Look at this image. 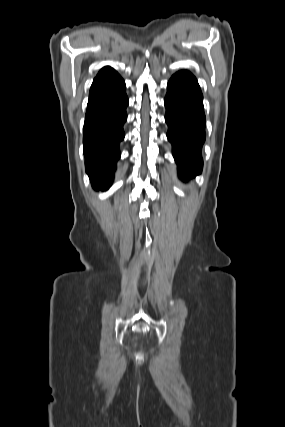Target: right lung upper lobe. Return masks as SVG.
Wrapping results in <instances>:
<instances>
[{
    "mask_svg": "<svg viewBox=\"0 0 285 427\" xmlns=\"http://www.w3.org/2000/svg\"><path fill=\"white\" fill-rule=\"evenodd\" d=\"M112 68H110V67H104V68H102L101 70H100V72H99V74H102V73H104V72H107V71H109V70H111ZM98 74V75H99Z\"/></svg>",
    "mask_w": 285,
    "mask_h": 427,
    "instance_id": "cb5924a9",
    "label": "right lung upper lobe"
}]
</instances>
